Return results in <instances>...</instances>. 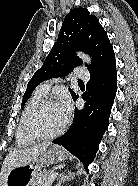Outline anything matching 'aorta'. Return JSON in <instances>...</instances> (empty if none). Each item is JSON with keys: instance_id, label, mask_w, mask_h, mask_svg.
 Returning a JSON list of instances; mask_svg holds the SVG:
<instances>
[{"instance_id": "762f6f07", "label": "aorta", "mask_w": 138, "mask_h": 186, "mask_svg": "<svg viewBox=\"0 0 138 186\" xmlns=\"http://www.w3.org/2000/svg\"><path fill=\"white\" fill-rule=\"evenodd\" d=\"M78 57L80 59H82L84 62L90 64L91 63V58L89 55L85 54V53H82V52H78L77 53Z\"/></svg>"}]
</instances>
